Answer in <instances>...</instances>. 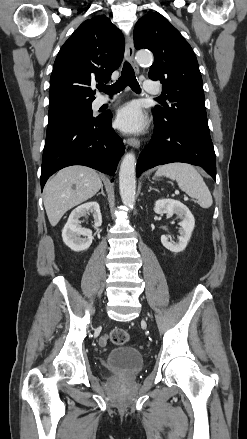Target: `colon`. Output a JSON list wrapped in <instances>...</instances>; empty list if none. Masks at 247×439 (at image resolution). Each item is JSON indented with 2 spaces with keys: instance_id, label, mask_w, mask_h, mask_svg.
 Segmentation results:
<instances>
[{
  "instance_id": "obj_1",
  "label": "colon",
  "mask_w": 247,
  "mask_h": 439,
  "mask_svg": "<svg viewBox=\"0 0 247 439\" xmlns=\"http://www.w3.org/2000/svg\"><path fill=\"white\" fill-rule=\"evenodd\" d=\"M130 339L128 332L121 328H116L110 332L109 340L116 345L126 344Z\"/></svg>"
}]
</instances>
